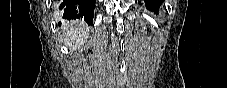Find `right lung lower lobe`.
<instances>
[{
  "mask_svg": "<svg viewBox=\"0 0 227 88\" xmlns=\"http://www.w3.org/2000/svg\"><path fill=\"white\" fill-rule=\"evenodd\" d=\"M96 0H60L59 10L64 19H76L93 24Z\"/></svg>",
  "mask_w": 227,
  "mask_h": 88,
  "instance_id": "1",
  "label": "right lung lower lobe"
}]
</instances>
